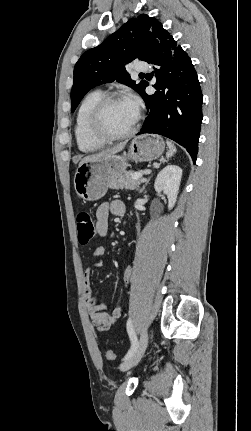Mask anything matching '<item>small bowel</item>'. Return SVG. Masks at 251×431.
<instances>
[{"label":"small bowel","instance_id":"small-bowel-1","mask_svg":"<svg viewBox=\"0 0 251 431\" xmlns=\"http://www.w3.org/2000/svg\"><path fill=\"white\" fill-rule=\"evenodd\" d=\"M125 205L122 201L115 200L101 204L96 210V230L100 237H107L109 231V217L111 215L120 217L125 213ZM105 254L103 246L97 247L93 251L94 261L84 272V303L92 325L101 332L110 331L117 323L123 312V305L118 304L111 313L106 311V306L92 295L90 287V276L95 269L102 266V257ZM132 269L128 266L125 270L124 280L129 283Z\"/></svg>","mask_w":251,"mask_h":431}]
</instances>
